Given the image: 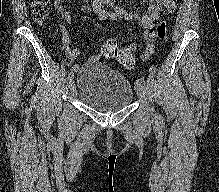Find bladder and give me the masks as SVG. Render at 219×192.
<instances>
[{
	"mask_svg": "<svg viewBox=\"0 0 219 192\" xmlns=\"http://www.w3.org/2000/svg\"><path fill=\"white\" fill-rule=\"evenodd\" d=\"M75 94L92 110L113 112L130 106L134 88L126 76L112 67L89 62L77 70Z\"/></svg>",
	"mask_w": 219,
	"mask_h": 192,
	"instance_id": "1",
	"label": "bladder"
}]
</instances>
